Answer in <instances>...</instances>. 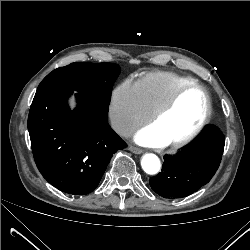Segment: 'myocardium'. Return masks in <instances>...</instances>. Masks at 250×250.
I'll use <instances>...</instances> for the list:
<instances>
[{"mask_svg":"<svg viewBox=\"0 0 250 250\" xmlns=\"http://www.w3.org/2000/svg\"><path fill=\"white\" fill-rule=\"evenodd\" d=\"M191 89H199L204 94L206 103L205 113L199 124L189 134L169 143V145L173 148H180L192 142L196 137L199 136V134L208 124L212 113V101L207 89L203 85L196 82L180 86L174 91L170 98L152 115L150 120L151 124H155L156 122H158L161 118H163L168 112L172 110V108L178 102L179 98L183 95V93Z\"/></svg>","mask_w":250,"mask_h":250,"instance_id":"myocardium-1","label":"myocardium"}]
</instances>
